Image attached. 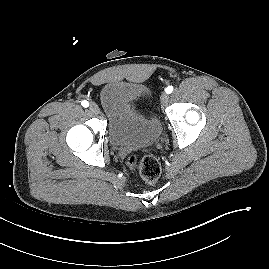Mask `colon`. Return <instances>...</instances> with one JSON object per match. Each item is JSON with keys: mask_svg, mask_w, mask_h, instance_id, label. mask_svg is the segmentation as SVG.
<instances>
[{"mask_svg": "<svg viewBox=\"0 0 269 269\" xmlns=\"http://www.w3.org/2000/svg\"><path fill=\"white\" fill-rule=\"evenodd\" d=\"M126 165L131 170H138L140 177L146 183H154L161 174V166L158 159L152 155H144L138 158L136 154H130L126 159Z\"/></svg>", "mask_w": 269, "mask_h": 269, "instance_id": "5ec220e1", "label": "colon"}]
</instances>
